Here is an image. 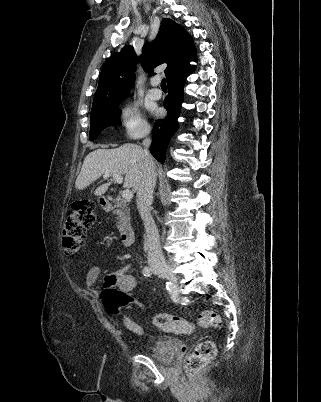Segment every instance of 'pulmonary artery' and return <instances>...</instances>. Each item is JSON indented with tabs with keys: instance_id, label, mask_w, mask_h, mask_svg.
<instances>
[{
	"instance_id": "pulmonary-artery-1",
	"label": "pulmonary artery",
	"mask_w": 321,
	"mask_h": 402,
	"mask_svg": "<svg viewBox=\"0 0 321 402\" xmlns=\"http://www.w3.org/2000/svg\"><path fill=\"white\" fill-rule=\"evenodd\" d=\"M158 86V79L155 78L151 81V88L148 91V96L152 100H158L161 98L162 93L161 91L157 88Z\"/></svg>"
}]
</instances>
